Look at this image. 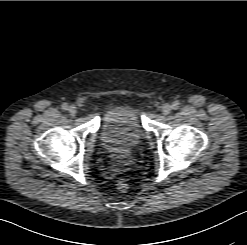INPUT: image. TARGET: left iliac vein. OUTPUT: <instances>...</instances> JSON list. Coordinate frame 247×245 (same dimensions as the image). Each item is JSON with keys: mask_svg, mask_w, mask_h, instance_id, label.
I'll return each instance as SVG.
<instances>
[{"mask_svg": "<svg viewBox=\"0 0 247 245\" xmlns=\"http://www.w3.org/2000/svg\"><path fill=\"white\" fill-rule=\"evenodd\" d=\"M171 109H172L171 105L166 103L162 106V113L164 115H168L171 112Z\"/></svg>", "mask_w": 247, "mask_h": 245, "instance_id": "obj_1", "label": "left iliac vein"}]
</instances>
